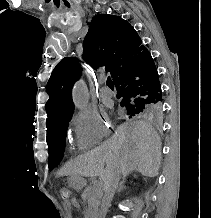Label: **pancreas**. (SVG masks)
I'll return each instance as SVG.
<instances>
[{
  "label": "pancreas",
  "instance_id": "cf45deb5",
  "mask_svg": "<svg viewBox=\"0 0 211 218\" xmlns=\"http://www.w3.org/2000/svg\"><path fill=\"white\" fill-rule=\"evenodd\" d=\"M102 188H98V186H87V190L84 191L83 196H85L86 205H89V212L86 214L87 218L90 216H95V212L98 210V206H100V198L102 197Z\"/></svg>",
  "mask_w": 211,
  "mask_h": 218
}]
</instances>
